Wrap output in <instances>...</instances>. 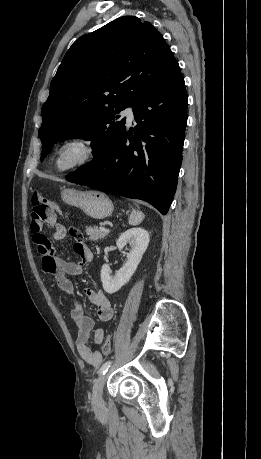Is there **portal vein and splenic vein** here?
Instances as JSON below:
<instances>
[{"instance_id":"18ae733b","label":"portal vein and splenic vein","mask_w":261,"mask_h":459,"mask_svg":"<svg viewBox=\"0 0 261 459\" xmlns=\"http://www.w3.org/2000/svg\"><path fill=\"white\" fill-rule=\"evenodd\" d=\"M100 230L109 232V229H107V228H105V227H100Z\"/></svg>"}]
</instances>
